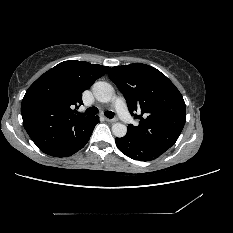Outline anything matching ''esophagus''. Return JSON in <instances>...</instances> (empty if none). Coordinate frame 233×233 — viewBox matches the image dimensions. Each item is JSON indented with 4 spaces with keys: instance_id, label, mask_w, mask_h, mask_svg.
Listing matches in <instances>:
<instances>
[{
    "instance_id": "obj_1",
    "label": "esophagus",
    "mask_w": 233,
    "mask_h": 233,
    "mask_svg": "<svg viewBox=\"0 0 233 233\" xmlns=\"http://www.w3.org/2000/svg\"><path fill=\"white\" fill-rule=\"evenodd\" d=\"M105 121L109 122V123H114L117 121V119L116 118H114V119L105 118Z\"/></svg>"
}]
</instances>
